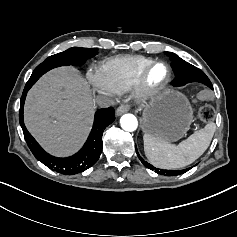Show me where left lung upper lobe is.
<instances>
[{
	"mask_svg": "<svg viewBox=\"0 0 237 237\" xmlns=\"http://www.w3.org/2000/svg\"><path fill=\"white\" fill-rule=\"evenodd\" d=\"M169 57L172 59V68L174 69V72L176 74V78L172 81L173 86H184L187 83L191 82H199L202 84L207 85L209 88H212V83L209 80V78L206 76V74L200 70L199 68L191 65L190 63L182 60L180 57L175 55L174 53L167 52ZM137 155L141 162L149 169L155 170L156 173L158 174H163L165 176H176L184 173L186 170H163V169H158V168H153L152 165L149 163L145 162L140 155L137 152Z\"/></svg>",
	"mask_w": 237,
	"mask_h": 237,
	"instance_id": "obj_1",
	"label": "left lung upper lobe"
}]
</instances>
